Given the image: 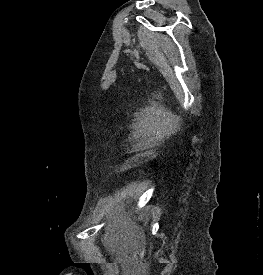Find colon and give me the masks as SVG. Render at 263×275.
Listing matches in <instances>:
<instances>
[{
  "label": "colon",
  "instance_id": "1",
  "mask_svg": "<svg viewBox=\"0 0 263 275\" xmlns=\"http://www.w3.org/2000/svg\"><path fill=\"white\" fill-rule=\"evenodd\" d=\"M146 247L147 242L144 236L141 233L136 234L133 239L132 258L127 267L128 275H145L147 271Z\"/></svg>",
  "mask_w": 263,
  "mask_h": 275
}]
</instances>
